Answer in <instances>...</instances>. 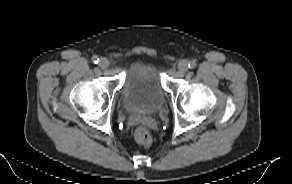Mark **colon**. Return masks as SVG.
<instances>
[{"instance_id": "1", "label": "colon", "mask_w": 292, "mask_h": 184, "mask_svg": "<svg viewBox=\"0 0 292 184\" xmlns=\"http://www.w3.org/2000/svg\"><path fill=\"white\" fill-rule=\"evenodd\" d=\"M134 138L140 145L149 146L152 143V135L149 129L144 126L135 129Z\"/></svg>"}]
</instances>
